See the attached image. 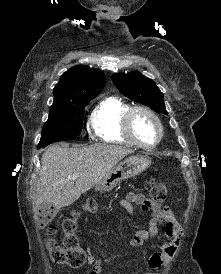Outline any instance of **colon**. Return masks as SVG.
I'll use <instances>...</instances> for the list:
<instances>
[{"label": "colon", "mask_w": 221, "mask_h": 274, "mask_svg": "<svg viewBox=\"0 0 221 274\" xmlns=\"http://www.w3.org/2000/svg\"><path fill=\"white\" fill-rule=\"evenodd\" d=\"M146 189L153 202L160 203L166 199L167 187L158 177L149 176L146 179ZM85 208L87 210H94L96 208L95 200L89 199L85 204ZM78 214V211H72L62 223L64 232L63 246L59 245L52 238L47 241V248L52 259L57 263L67 265L71 268L81 267L89 257L88 253L80 246L75 234ZM47 232L50 236H53L56 233V227L49 225Z\"/></svg>", "instance_id": "5ec220e1"}]
</instances>
